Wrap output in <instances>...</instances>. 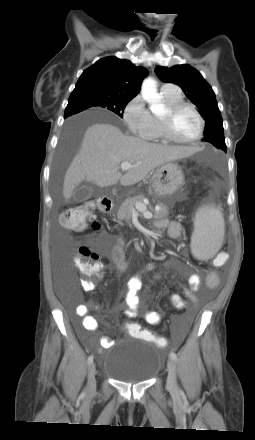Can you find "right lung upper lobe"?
Wrapping results in <instances>:
<instances>
[{"instance_id":"cb5924a9","label":"right lung upper lobe","mask_w":255,"mask_h":440,"mask_svg":"<svg viewBox=\"0 0 255 440\" xmlns=\"http://www.w3.org/2000/svg\"><path fill=\"white\" fill-rule=\"evenodd\" d=\"M146 75L145 68L137 67L128 60L109 56L98 60L82 73L73 93L103 92L132 99L139 93Z\"/></svg>"}]
</instances>
